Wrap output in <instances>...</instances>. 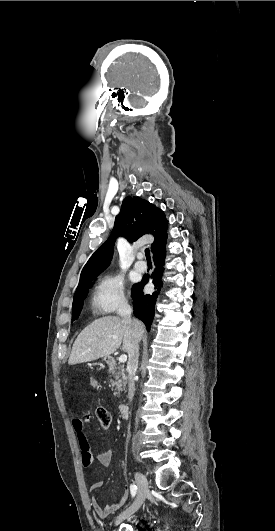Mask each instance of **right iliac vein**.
Masks as SVG:
<instances>
[{
    "label": "right iliac vein",
    "instance_id": "1",
    "mask_svg": "<svg viewBox=\"0 0 275 531\" xmlns=\"http://www.w3.org/2000/svg\"><path fill=\"white\" fill-rule=\"evenodd\" d=\"M135 480L138 487V493L135 501L132 503L130 507H128L125 511H123L116 519L115 525H118L126 518H129L130 516L134 515L139 508L144 503L147 495H148V480L147 478L140 472H137L135 474Z\"/></svg>",
    "mask_w": 275,
    "mask_h": 531
}]
</instances>
